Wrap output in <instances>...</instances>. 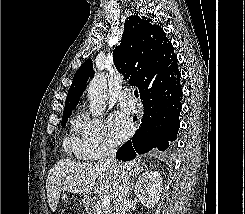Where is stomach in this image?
<instances>
[{
    "label": "stomach",
    "instance_id": "obj_1",
    "mask_svg": "<svg viewBox=\"0 0 245 214\" xmlns=\"http://www.w3.org/2000/svg\"><path fill=\"white\" fill-rule=\"evenodd\" d=\"M61 200H62L63 203H67V201H68V196H67L66 193L63 192V195H62V197H61ZM80 205L83 206V207H86L87 202L85 201V199H83V200L80 201Z\"/></svg>",
    "mask_w": 245,
    "mask_h": 214
}]
</instances>
